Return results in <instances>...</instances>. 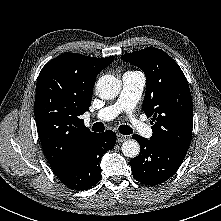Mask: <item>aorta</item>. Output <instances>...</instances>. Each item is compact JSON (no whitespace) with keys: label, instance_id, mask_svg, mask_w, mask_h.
Segmentation results:
<instances>
[{"label":"aorta","instance_id":"762f6f07","mask_svg":"<svg viewBox=\"0 0 221 221\" xmlns=\"http://www.w3.org/2000/svg\"><path fill=\"white\" fill-rule=\"evenodd\" d=\"M96 89L100 98L114 99L121 90V82L113 75H104L97 81ZM121 150L126 157L134 158L140 152V145L136 140H127L123 142Z\"/></svg>","mask_w":221,"mask_h":221}]
</instances>
